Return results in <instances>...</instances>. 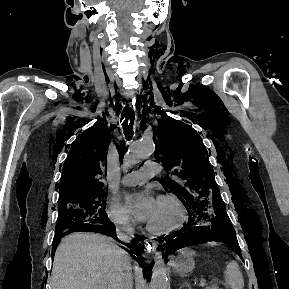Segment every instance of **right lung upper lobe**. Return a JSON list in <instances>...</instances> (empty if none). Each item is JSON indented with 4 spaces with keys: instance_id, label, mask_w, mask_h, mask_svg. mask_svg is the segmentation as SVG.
<instances>
[{
    "instance_id": "cb5924a9",
    "label": "right lung upper lobe",
    "mask_w": 289,
    "mask_h": 289,
    "mask_svg": "<svg viewBox=\"0 0 289 289\" xmlns=\"http://www.w3.org/2000/svg\"><path fill=\"white\" fill-rule=\"evenodd\" d=\"M109 143L110 132L102 119L75 140L63 165L61 182L56 185L60 197L105 188Z\"/></svg>"
}]
</instances>
